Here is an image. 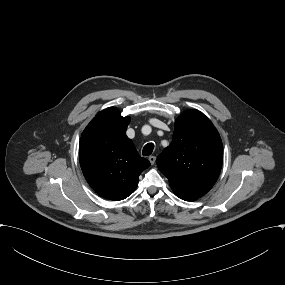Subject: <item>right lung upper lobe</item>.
Instances as JSON below:
<instances>
[{
	"label": "right lung upper lobe",
	"mask_w": 285,
	"mask_h": 285,
	"mask_svg": "<svg viewBox=\"0 0 285 285\" xmlns=\"http://www.w3.org/2000/svg\"><path fill=\"white\" fill-rule=\"evenodd\" d=\"M130 117L115 107L99 112L81 135L79 160L83 174L100 196L119 201L131 195L150 162L127 136Z\"/></svg>",
	"instance_id": "cb5924a9"
}]
</instances>
